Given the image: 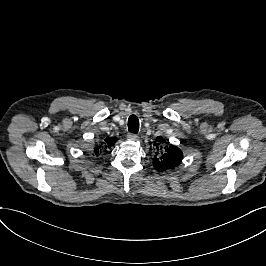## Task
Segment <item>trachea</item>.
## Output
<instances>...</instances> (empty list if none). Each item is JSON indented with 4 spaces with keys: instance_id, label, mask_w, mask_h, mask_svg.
<instances>
[{
    "instance_id": "1",
    "label": "trachea",
    "mask_w": 266,
    "mask_h": 266,
    "mask_svg": "<svg viewBox=\"0 0 266 266\" xmlns=\"http://www.w3.org/2000/svg\"><path fill=\"white\" fill-rule=\"evenodd\" d=\"M128 130L133 133L139 131V120L135 115H131L128 119Z\"/></svg>"
}]
</instances>
